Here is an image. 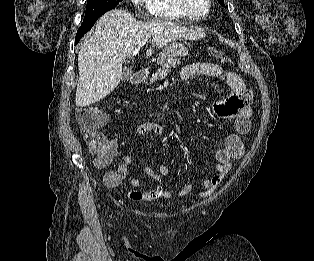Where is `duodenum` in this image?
<instances>
[{
  "mask_svg": "<svg viewBox=\"0 0 314 261\" xmlns=\"http://www.w3.org/2000/svg\"><path fill=\"white\" fill-rule=\"evenodd\" d=\"M145 79L146 73L144 71H137L133 74L131 81L133 84H141L145 81Z\"/></svg>",
  "mask_w": 314,
  "mask_h": 261,
  "instance_id": "obj_1",
  "label": "duodenum"
}]
</instances>
